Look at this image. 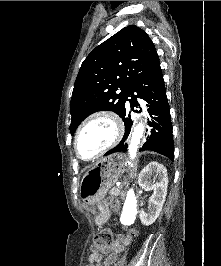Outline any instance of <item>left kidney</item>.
Listing matches in <instances>:
<instances>
[{
    "label": "left kidney",
    "mask_w": 221,
    "mask_h": 266,
    "mask_svg": "<svg viewBox=\"0 0 221 266\" xmlns=\"http://www.w3.org/2000/svg\"><path fill=\"white\" fill-rule=\"evenodd\" d=\"M156 179H158L157 182H155ZM138 182L142 188L154 190L148 202V213L140 215L142 224L149 226L159 217L166 199L168 187L167 170L162 164L153 161L141 171Z\"/></svg>",
    "instance_id": "obj_1"
}]
</instances>
